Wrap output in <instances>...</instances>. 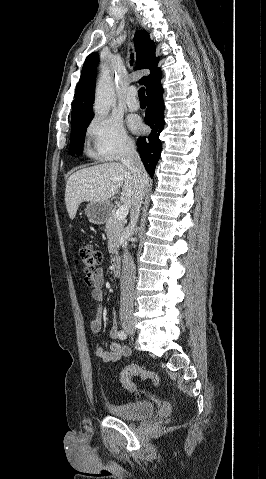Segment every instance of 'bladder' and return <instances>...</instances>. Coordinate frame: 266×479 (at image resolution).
I'll return each mask as SVG.
<instances>
[{
  "instance_id": "31cf9c89",
  "label": "bladder",
  "mask_w": 266,
  "mask_h": 479,
  "mask_svg": "<svg viewBox=\"0 0 266 479\" xmlns=\"http://www.w3.org/2000/svg\"><path fill=\"white\" fill-rule=\"evenodd\" d=\"M110 414L122 420H137L154 414V405L147 400L129 401L108 405Z\"/></svg>"
}]
</instances>
